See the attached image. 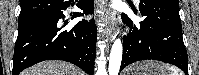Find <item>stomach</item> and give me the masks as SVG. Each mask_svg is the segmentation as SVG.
Here are the masks:
<instances>
[{
  "label": "stomach",
  "instance_id": "stomach-1",
  "mask_svg": "<svg viewBox=\"0 0 199 75\" xmlns=\"http://www.w3.org/2000/svg\"><path fill=\"white\" fill-rule=\"evenodd\" d=\"M165 69L159 62H139L127 68L125 75H164Z\"/></svg>",
  "mask_w": 199,
  "mask_h": 75
}]
</instances>
